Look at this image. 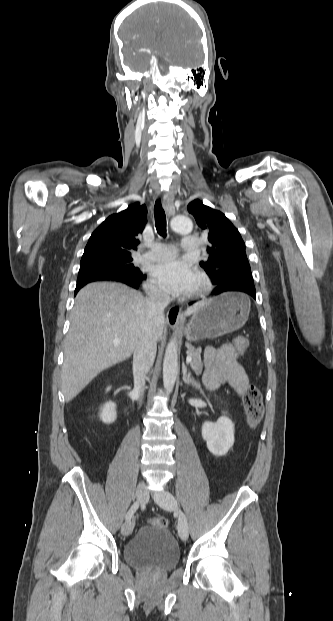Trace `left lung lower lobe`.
I'll return each mask as SVG.
<instances>
[{
	"label": "left lung lower lobe",
	"mask_w": 333,
	"mask_h": 621,
	"mask_svg": "<svg viewBox=\"0 0 333 621\" xmlns=\"http://www.w3.org/2000/svg\"><path fill=\"white\" fill-rule=\"evenodd\" d=\"M224 292H243V293H246L252 296L254 299H256V290H255L254 282L236 281V280L229 281L216 287L215 290L211 293V295H219Z\"/></svg>",
	"instance_id": "0a47b994"
}]
</instances>
